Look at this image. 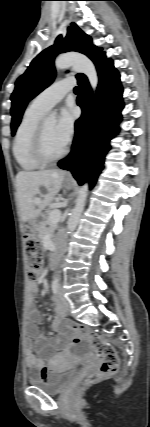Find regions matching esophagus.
Here are the masks:
<instances>
[{"label": "esophagus", "mask_w": 150, "mask_h": 427, "mask_svg": "<svg viewBox=\"0 0 150 427\" xmlns=\"http://www.w3.org/2000/svg\"><path fill=\"white\" fill-rule=\"evenodd\" d=\"M67 177H70V174H69V173H67Z\"/></svg>", "instance_id": "34e87169"}]
</instances>
